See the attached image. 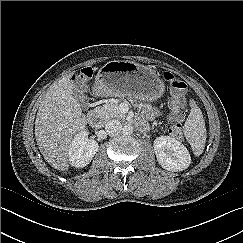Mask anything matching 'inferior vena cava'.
Listing matches in <instances>:
<instances>
[{"label":"inferior vena cava","mask_w":243,"mask_h":243,"mask_svg":"<svg viewBox=\"0 0 243 243\" xmlns=\"http://www.w3.org/2000/svg\"><path fill=\"white\" fill-rule=\"evenodd\" d=\"M105 130L109 135H117L122 130V124L118 119L109 120L105 125Z\"/></svg>","instance_id":"obj_1"}]
</instances>
